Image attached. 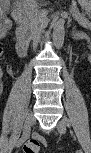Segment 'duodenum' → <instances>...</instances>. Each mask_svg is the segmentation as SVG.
<instances>
[{
    "label": "duodenum",
    "mask_w": 91,
    "mask_h": 153,
    "mask_svg": "<svg viewBox=\"0 0 91 153\" xmlns=\"http://www.w3.org/2000/svg\"><path fill=\"white\" fill-rule=\"evenodd\" d=\"M25 10L23 7H18L15 12L16 28L14 30V40L16 52L20 57H25L29 53V43L24 37V21Z\"/></svg>",
    "instance_id": "410a0bca"
}]
</instances>
